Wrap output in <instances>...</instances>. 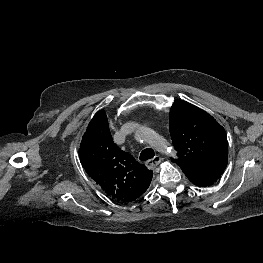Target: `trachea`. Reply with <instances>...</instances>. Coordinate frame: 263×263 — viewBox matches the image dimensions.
Here are the masks:
<instances>
[{
  "mask_svg": "<svg viewBox=\"0 0 263 263\" xmlns=\"http://www.w3.org/2000/svg\"><path fill=\"white\" fill-rule=\"evenodd\" d=\"M154 157V151L151 148L144 149L140 154V160L146 161Z\"/></svg>",
  "mask_w": 263,
  "mask_h": 263,
  "instance_id": "1",
  "label": "trachea"
}]
</instances>
